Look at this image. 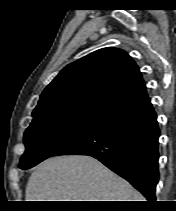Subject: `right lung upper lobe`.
Wrapping results in <instances>:
<instances>
[{
  "label": "right lung upper lobe",
  "mask_w": 176,
  "mask_h": 211,
  "mask_svg": "<svg viewBox=\"0 0 176 211\" xmlns=\"http://www.w3.org/2000/svg\"><path fill=\"white\" fill-rule=\"evenodd\" d=\"M149 101L133 59L121 49L104 48L67 65L45 88L32 115L64 111L103 119Z\"/></svg>",
  "instance_id": "cb5924a9"
}]
</instances>
